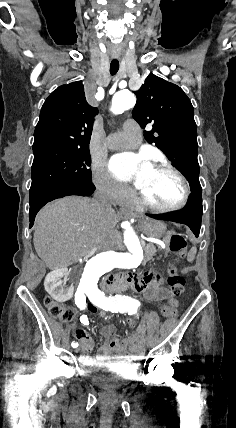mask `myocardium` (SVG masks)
Masks as SVG:
<instances>
[{
    "mask_svg": "<svg viewBox=\"0 0 236 428\" xmlns=\"http://www.w3.org/2000/svg\"><path fill=\"white\" fill-rule=\"evenodd\" d=\"M152 169L154 170H165L169 173H171L172 175H174L180 182L181 186H182V197L179 200L178 203H176L175 205L172 206H160L152 201H150L145 194L139 189L138 191V201L156 211V212H160V213H171V212H176L181 210L182 208H184L187 203L190 200V196H191V191H190V186L188 183L187 178L185 177V175L178 169L176 168L173 164H171L169 161H161L158 162L156 164H154L152 166Z\"/></svg>",
    "mask_w": 236,
    "mask_h": 428,
    "instance_id": "1",
    "label": "myocardium"
}]
</instances>
